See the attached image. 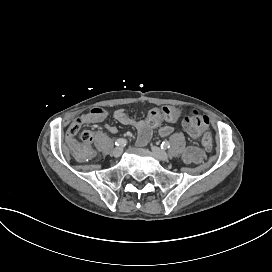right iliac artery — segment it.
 <instances>
[{"label": "right iliac artery", "mask_w": 272, "mask_h": 272, "mask_svg": "<svg viewBox=\"0 0 272 272\" xmlns=\"http://www.w3.org/2000/svg\"><path fill=\"white\" fill-rule=\"evenodd\" d=\"M126 144H127L126 139L120 138V139H117V140L115 141V145H116V146H125Z\"/></svg>", "instance_id": "82829eb1"}]
</instances>
